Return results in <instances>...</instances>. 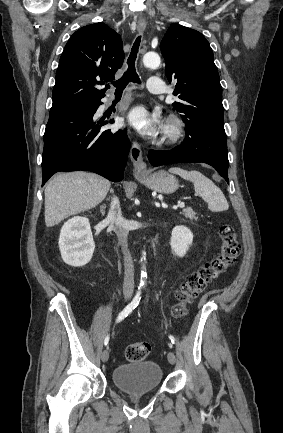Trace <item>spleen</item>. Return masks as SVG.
I'll return each mask as SVG.
<instances>
[{
    "mask_svg": "<svg viewBox=\"0 0 283 433\" xmlns=\"http://www.w3.org/2000/svg\"><path fill=\"white\" fill-rule=\"evenodd\" d=\"M169 172H174V174H179L185 180L194 182L195 192H198L203 200L208 202V208L213 210V212L228 210L229 204L222 190L210 178L199 172V170H183L179 166H173V168H169Z\"/></svg>",
    "mask_w": 283,
    "mask_h": 433,
    "instance_id": "3e777b00",
    "label": "spleen"
}]
</instances>
